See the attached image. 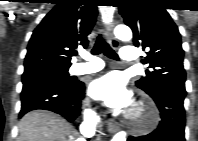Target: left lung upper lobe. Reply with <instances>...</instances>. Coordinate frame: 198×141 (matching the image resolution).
<instances>
[{"label": "left lung upper lobe", "mask_w": 198, "mask_h": 141, "mask_svg": "<svg viewBox=\"0 0 198 141\" xmlns=\"http://www.w3.org/2000/svg\"><path fill=\"white\" fill-rule=\"evenodd\" d=\"M120 14L134 36V45L147 49L144 60L153 71L136 81L150 96L165 87L185 90L182 43L177 26L157 0H124Z\"/></svg>", "instance_id": "obj_1"}]
</instances>
